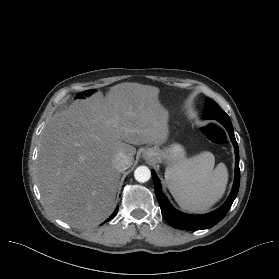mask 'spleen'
<instances>
[{"label": "spleen", "instance_id": "obj_1", "mask_svg": "<svg viewBox=\"0 0 279 279\" xmlns=\"http://www.w3.org/2000/svg\"><path fill=\"white\" fill-rule=\"evenodd\" d=\"M214 165V155L202 152L166 169L167 187L182 209L205 212L222 198L228 183V171L224 163H219L215 169Z\"/></svg>", "mask_w": 279, "mask_h": 279}]
</instances>
